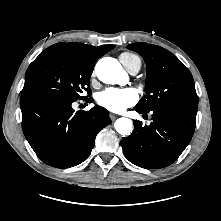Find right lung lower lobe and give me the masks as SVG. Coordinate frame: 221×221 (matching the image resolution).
I'll return each mask as SVG.
<instances>
[{
  "label": "right lung lower lobe",
  "instance_id": "right-lung-lower-lobe-1",
  "mask_svg": "<svg viewBox=\"0 0 221 221\" xmlns=\"http://www.w3.org/2000/svg\"><path fill=\"white\" fill-rule=\"evenodd\" d=\"M73 102L51 95L20 98L26 139L44 163L56 168L86 160L98 132L111 123L106 109L95 106L74 113Z\"/></svg>",
  "mask_w": 221,
  "mask_h": 221
}]
</instances>
